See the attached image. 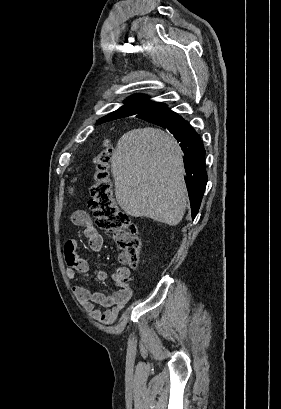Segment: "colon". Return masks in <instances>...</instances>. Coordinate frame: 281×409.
Returning <instances> with one entry per match:
<instances>
[{"mask_svg":"<svg viewBox=\"0 0 281 409\" xmlns=\"http://www.w3.org/2000/svg\"><path fill=\"white\" fill-rule=\"evenodd\" d=\"M113 148L106 145L93 159V185L90 207L95 224L101 230L112 233L123 263L135 267L138 264L140 240L137 227L128 214L117 205L110 174ZM73 190V187L70 191Z\"/></svg>","mask_w":281,"mask_h":409,"instance_id":"1","label":"colon"}]
</instances>
